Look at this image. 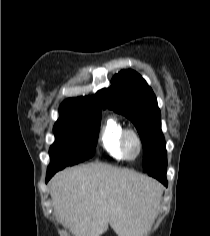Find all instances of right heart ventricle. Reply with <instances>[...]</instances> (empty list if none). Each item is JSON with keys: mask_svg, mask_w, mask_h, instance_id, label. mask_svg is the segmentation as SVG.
<instances>
[{"mask_svg": "<svg viewBox=\"0 0 210 236\" xmlns=\"http://www.w3.org/2000/svg\"><path fill=\"white\" fill-rule=\"evenodd\" d=\"M124 129V124L116 117L107 118L102 126L101 145L115 159H124L120 148V138Z\"/></svg>", "mask_w": 210, "mask_h": 236, "instance_id": "obj_1", "label": "right heart ventricle"}]
</instances>
